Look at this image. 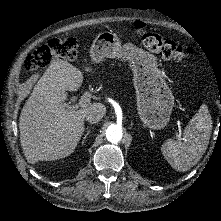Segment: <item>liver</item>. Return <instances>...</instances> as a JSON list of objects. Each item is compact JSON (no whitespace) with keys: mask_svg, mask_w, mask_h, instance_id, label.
<instances>
[{"mask_svg":"<svg viewBox=\"0 0 221 221\" xmlns=\"http://www.w3.org/2000/svg\"><path fill=\"white\" fill-rule=\"evenodd\" d=\"M82 82V72L64 60L53 61L38 80L19 117L20 142L28 163L69 156L85 131V115L92 111L106 114L102 103L79 110L62 107L67 91H77Z\"/></svg>","mask_w":221,"mask_h":221,"instance_id":"1","label":"liver"}]
</instances>
